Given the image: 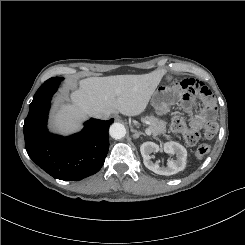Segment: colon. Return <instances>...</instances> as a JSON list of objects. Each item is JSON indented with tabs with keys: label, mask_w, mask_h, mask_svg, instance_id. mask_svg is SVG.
Here are the masks:
<instances>
[{
	"label": "colon",
	"mask_w": 245,
	"mask_h": 245,
	"mask_svg": "<svg viewBox=\"0 0 245 245\" xmlns=\"http://www.w3.org/2000/svg\"><path fill=\"white\" fill-rule=\"evenodd\" d=\"M171 127L174 131L182 133L185 141L189 145H196L199 141L200 134L197 130L189 128L185 121L181 117H175L172 120ZM218 131V125L214 121H209L204 128V134L206 137H213ZM210 151L208 145H200L196 149V156L198 158H203Z\"/></svg>",
	"instance_id": "obj_1"
}]
</instances>
